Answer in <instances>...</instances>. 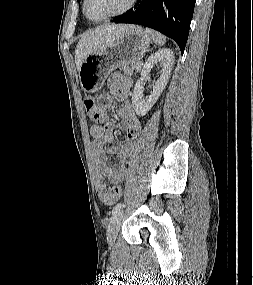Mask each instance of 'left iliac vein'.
I'll list each match as a JSON object with an SVG mask.
<instances>
[{
    "instance_id": "left-iliac-vein-1",
    "label": "left iliac vein",
    "mask_w": 253,
    "mask_h": 285,
    "mask_svg": "<svg viewBox=\"0 0 253 285\" xmlns=\"http://www.w3.org/2000/svg\"><path fill=\"white\" fill-rule=\"evenodd\" d=\"M123 218V210H119L111 219L107 229V241L110 245L114 244L118 232L121 227V221Z\"/></svg>"
}]
</instances>
